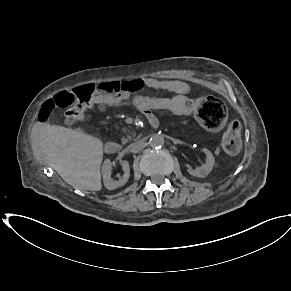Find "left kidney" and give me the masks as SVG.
<instances>
[{"label": "left kidney", "mask_w": 291, "mask_h": 291, "mask_svg": "<svg viewBox=\"0 0 291 291\" xmlns=\"http://www.w3.org/2000/svg\"><path fill=\"white\" fill-rule=\"evenodd\" d=\"M203 152L206 154V162L196 169H188V173L192 176L204 178L206 177L213 169L215 159L213 154L206 148H203Z\"/></svg>", "instance_id": "1"}]
</instances>
